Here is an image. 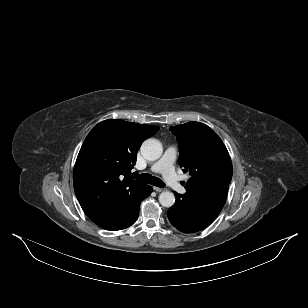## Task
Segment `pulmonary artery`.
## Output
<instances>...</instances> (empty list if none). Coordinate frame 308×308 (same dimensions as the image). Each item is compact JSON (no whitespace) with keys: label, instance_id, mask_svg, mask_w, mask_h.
I'll list each match as a JSON object with an SVG mask.
<instances>
[{"label":"pulmonary artery","instance_id":"e3ab8cb5","mask_svg":"<svg viewBox=\"0 0 308 308\" xmlns=\"http://www.w3.org/2000/svg\"><path fill=\"white\" fill-rule=\"evenodd\" d=\"M176 158V149L174 147H169L164 152L162 158L156 162L152 167V172L161 173L167 182V184L175 191L184 194L186 189L180 183V178L176 174L173 164Z\"/></svg>","mask_w":308,"mask_h":308}]
</instances>
